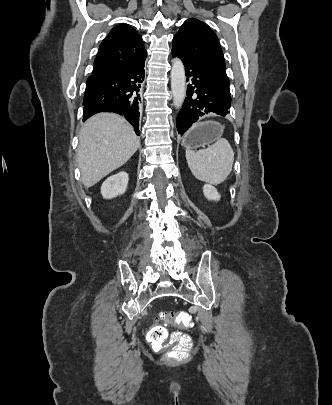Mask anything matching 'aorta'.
Wrapping results in <instances>:
<instances>
[{
	"label": "aorta",
	"mask_w": 332,
	"mask_h": 405,
	"mask_svg": "<svg viewBox=\"0 0 332 405\" xmlns=\"http://www.w3.org/2000/svg\"><path fill=\"white\" fill-rule=\"evenodd\" d=\"M171 90L175 108L181 109L186 96V76L183 62L180 58L172 60Z\"/></svg>",
	"instance_id": "1"
}]
</instances>
